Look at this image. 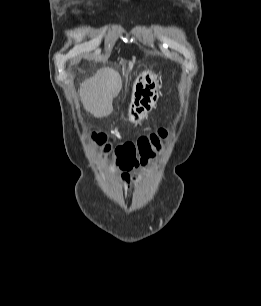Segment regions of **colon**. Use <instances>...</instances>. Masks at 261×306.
<instances>
[{
	"mask_svg": "<svg viewBox=\"0 0 261 306\" xmlns=\"http://www.w3.org/2000/svg\"><path fill=\"white\" fill-rule=\"evenodd\" d=\"M166 128L140 136L135 141H126L113 146L102 133H92L91 140L102 158L116 157V164L121 170H131L147 165L162 149L163 141L168 137Z\"/></svg>",
	"mask_w": 261,
	"mask_h": 306,
	"instance_id": "5ec220e1",
	"label": "colon"
}]
</instances>
